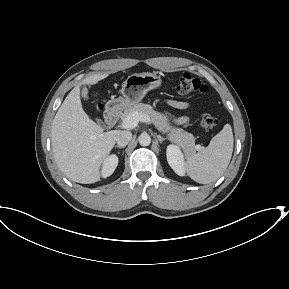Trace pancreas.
Segmentation results:
<instances>
[{
	"mask_svg": "<svg viewBox=\"0 0 289 289\" xmlns=\"http://www.w3.org/2000/svg\"><path fill=\"white\" fill-rule=\"evenodd\" d=\"M139 113L151 118L153 124L163 133H168L167 138L182 146L187 153H194L196 150L195 138L191 133L182 128L171 126L169 118L162 112L155 111L149 104L137 103L124 111L121 118L124 119L130 114Z\"/></svg>",
	"mask_w": 289,
	"mask_h": 289,
	"instance_id": "pancreas-1",
	"label": "pancreas"
}]
</instances>
